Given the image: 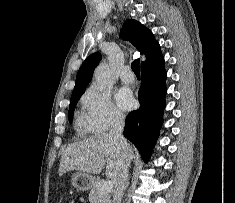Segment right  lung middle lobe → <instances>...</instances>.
Masks as SVG:
<instances>
[{"instance_id":"1","label":"right lung middle lobe","mask_w":235,"mask_h":203,"mask_svg":"<svg viewBox=\"0 0 235 203\" xmlns=\"http://www.w3.org/2000/svg\"><path fill=\"white\" fill-rule=\"evenodd\" d=\"M84 91L72 94L71 96V101H70V106H69V122L72 123V118H73V113L75 106L80 99L81 95L83 94Z\"/></svg>"}]
</instances>
